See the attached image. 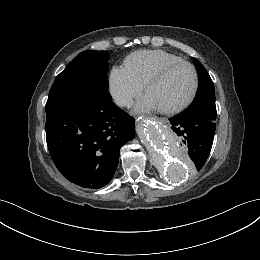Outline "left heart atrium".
Wrapping results in <instances>:
<instances>
[{"mask_svg": "<svg viewBox=\"0 0 260 260\" xmlns=\"http://www.w3.org/2000/svg\"><path fill=\"white\" fill-rule=\"evenodd\" d=\"M158 105L146 94L136 104V110L149 111L158 109Z\"/></svg>", "mask_w": 260, "mask_h": 260, "instance_id": "obj_1", "label": "left heart atrium"}]
</instances>
